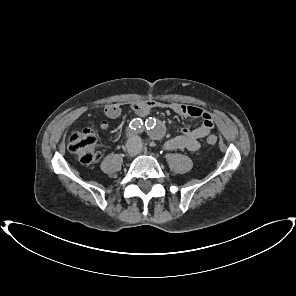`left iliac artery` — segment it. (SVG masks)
I'll list each match as a JSON object with an SVG mask.
<instances>
[{"mask_svg":"<svg viewBox=\"0 0 296 296\" xmlns=\"http://www.w3.org/2000/svg\"><path fill=\"white\" fill-rule=\"evenodd\" d=\"M147 121H148V120H146V122H145V126H146V128L148 129V128H149V127H148V126H149V123H147ZM151 128H152V127H151ZM149 129H150V128H149Z\"/></svg>","mask_w":296,"mask_h":296,"instance_id":"1","label":"left iliac artery"}]
</instances>
